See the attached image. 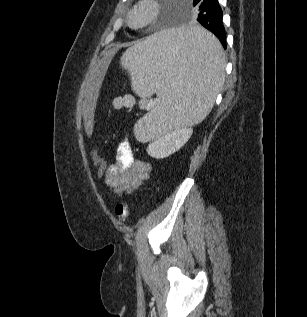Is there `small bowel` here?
Instances as JSON below:
<instances>
[{"label":"small bowel","instance_id":"obj_1","mask_svg":"<svg viewBox=\"0 0 307 317\" xmlns=\"http://www.w3.org/2000/svg\"><path fill=\"white\" fill-rule=\"evenodd\" d=\"M152 167L149 163L134 158L128 139L119 142L116 160L108 165L105 183L117 194L131 193L142 185L150 176Z\"/></svg>","mask_w":307,"mask_h":317}]
</instances>
